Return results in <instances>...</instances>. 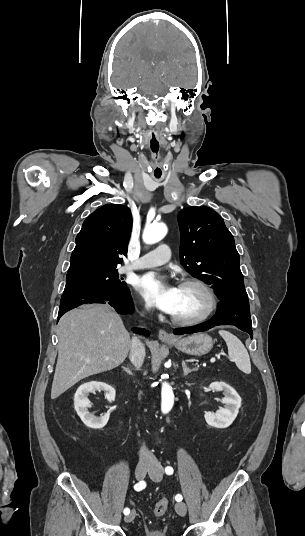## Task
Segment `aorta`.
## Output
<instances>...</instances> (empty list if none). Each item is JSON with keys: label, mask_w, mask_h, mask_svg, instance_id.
I'll list each match as a JSON object with an SVG mask.
<instances>
[{"label": "aorta", "mask_w": 305, "mask_h": 536, "mask_svg": "<svg viewBox=\"0 0 305 536\" xmlns=\"http://www.w3.org/2000/svg\"><path fill=\"white\" fill-rule=\"evenodd\" d=\"M167 226L163 223L147 225L143 232V241L146 244H154L162 240L167 234ZM174 404V394L172 387L167 382L162 383L161 387V411L168 413Z\"/></svg>", "instance_id": "obj_1"}]
</instances>
